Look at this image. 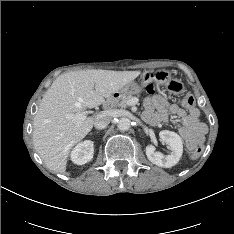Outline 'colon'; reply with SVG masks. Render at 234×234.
<instances>
[{
	"label": "colon",
	"mask_w": 234,
	"mask_h": 234,
	"mask_svg": "<svg viewBox=\"0 0 234 234\" xmlns=\"http://www.w3.org/2000/svg\"><path fill=\"white\" fill-rule=\"evenodd\" d=\"M167 88L171 92L179 96L180 102L184 107L189 108L194 105L195 103L194 97L190 93L185 91L184 86L180 82L171 80L168 82ZM147 91L149 93L154 92V87L152 84H149L147 86ZM190 150L192 158H198L203 151L201 146H193L190 148Z\"/></svg>",
	"instance_id": "1"
}]
</instances>
